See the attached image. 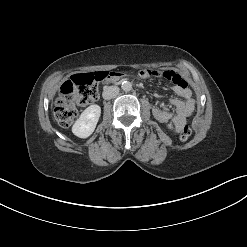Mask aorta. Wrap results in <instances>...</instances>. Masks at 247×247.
Masks as SVG:
<instances>
[{"mask_svg": "<svg viewBox=\"0 0 247 247\" xmlns=\"http://www.w3.org/2000/svg\"><path fill=\"white\" fill-rule=\"evenodd\" d=\"M121 88L123 91L129 92L130 90H132V83L129 81H123L121 84Z\"/></svg>", "mask_w": 247, "mask_h": 247, "instance_id": "762f6f07", "label": "aorta"}]
</instances>
